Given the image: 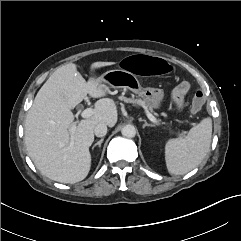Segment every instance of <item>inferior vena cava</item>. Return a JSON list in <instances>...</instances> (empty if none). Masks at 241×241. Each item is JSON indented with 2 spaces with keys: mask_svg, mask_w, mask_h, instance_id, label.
<instances>
[{
  "mask_svg": "<svg viewBox=\"0 0 241 241\" xmlns=\"http://www.w3.org/2000/svg\"><path fill=\"white\" fill-rule=\"evenodd\" d=\"M94 133L97 137L105 136L107 133V125L104 123L98 124L94 129Z\"/></svg>",
  "mask_w": 241,
  "mask_h": 241,
  "instance_id": "obj_1",
  "label": "inferior vena cava"
}]
</instances>
